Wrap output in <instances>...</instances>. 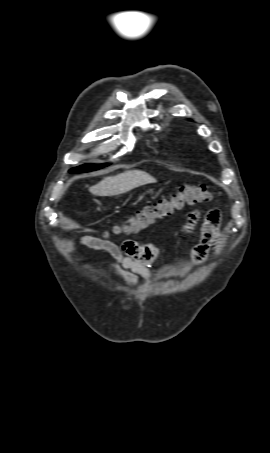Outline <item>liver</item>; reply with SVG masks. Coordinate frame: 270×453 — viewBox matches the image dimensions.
I'll list each match as a JSON object with an SVG mask.
<instances>
[{"label":"liver","instance_id":"6515ba94","mask_svg":"<svg viewBox=\"0 0 270 453\" xmlns=\"http://www.w3.org/2000/svg\"><path fill=\"white\" fill-rule=\"evenodd\" d=\"M157 180L141 170H130L115 176L105 177L102 181L89 188L95 196H115L126 193L145 184L156 183Z\"/></svg>","mask_w":270,"mask_h":453}]
</instances>
